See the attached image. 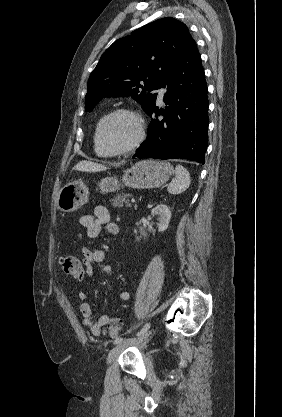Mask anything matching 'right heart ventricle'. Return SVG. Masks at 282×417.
Masks as SVG:
<instances>
[{
  "instance_id": "right-heart-ventricle-1",
  "label": "right heart ventricle",
  "mask_w": 282,
  "mask_h": 417,
  "mask_svg": "<svg viewBox=\"0 0 282 417\" xmlns=\"http://www.w3.org/2000/svg\"><path fill=\"white\" fill-rule=\"evenodd\" d=\"M102 121L103 120H101L99 122V124L97 126V129H96V133H95V147H96L97 153L103 156V155H107V154L102 150V148L99 145V130H100V125H101Z\"/></svg>"
}]
</instances>
